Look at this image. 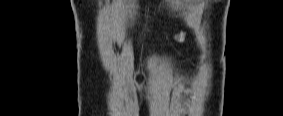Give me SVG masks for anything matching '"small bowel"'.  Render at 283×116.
Segmentation results:
<instances>
[{
  "instance_id": "small-bowel-1",
  "label": "small bowel",
  "mask_w": 283,
  "mask_h": 116,
  "mask_svg": "<svg viewBox=\"0 0 283 116\" xmlns=\"http://www.w3.org/2000/svg\"><path fill=\"white\" fill-rule=\"evenodd\" d=\"M136 18H137L138 20L142 21V22L145 21V19H144L142 16H138V17H136ZM185 38H186V33H185V32H180V33H178V34L176 35V39H177L178 41H184ZM185 92L187 93V91H185Z\"/></svg>"
}]
</instances>
